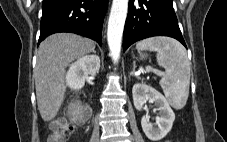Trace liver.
Segmentation results:
<instances>
[{
    "label": "liver",
    "mask_w": 227,
    "mask_h": 142,
    "mask_svg": "<svg viewBox=\"0 0 227 142\" xmlns=\"http://www.w3.org/2000/svg\"><path fill=\"white\" fill-rule=\"evenodd\" d=\"M94 49L92 40L71 33L53 34L41 42L33 77L38 110L45 122L56 117L64 100L66 67Z\"/></svg>",
    "instance_id": "6515ba94"
}]
</instances>
